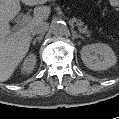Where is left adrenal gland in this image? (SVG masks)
<instances>
[{
  "mask_svg": "<svg viewBox=\"0 0 119 119\" xmlns=\"http://www.w3.org/2000/svg\"><path fill=\"white\" fill-rule=\"evenodd\" d=\"M72 35H73V39H76V38L83 39V37L81 35L77 34L75 31H73V34Z\"/></svg>",
  "mask_w": 119,
  "mask_h": 119,
  "instance_id": "1",
  "label": "left adrenal gland"
}]
</instances>
